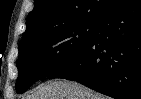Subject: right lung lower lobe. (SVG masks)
I'll use <instances>...</instances> for the list:
<instances>
[{
	"mask_svg": "<svg viewBox=\"0 0 141 99\" xmlns=\"http://www.w3.org/2000/svg\"><path fill=\"white\" fill-rule=\"evenodd\" d=\"M50 77L115 99H141V0H122L102 16L92 40Z\"/></svg>",
	"mask_w": 141,
	"mask_h": 99,
	"instance_id": "1",
	"label": "right lung lower lobe"
}]
</instances>
